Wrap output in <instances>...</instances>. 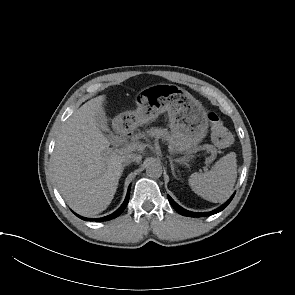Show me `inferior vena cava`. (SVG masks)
Listing matches in <instances>:
<instances>
[{
  "label": "inferior vena cava",
  "instance_id": "inferior-vena-cava-1",
  "mask_svg": "<svg viewBox=\"0 0 295 295\" xmlns=\"http://www.w3.org/2000/svg\"><path fill=\"white\" fill-rule=\"evenodd\" d=\"M142 159V156L140 154L130 153L123 157L124 163H131V162H137L139 163Z\"/></svg>",
  "mask_w": 295,
  "mask_h": 295
}]
</instances>
